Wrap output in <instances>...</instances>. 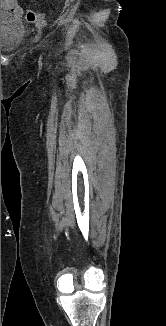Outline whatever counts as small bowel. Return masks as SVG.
I'll list each match as a JSON object with an SVG mask.
<instances>
[{
	"label": "small bowel",
	"instance_id": "1",
	"mask_svg": "<svg viewBox=\"0 0 166 326\" xmlns=\"http://www.w3.org/2000/svg\"><path fill=\"white\" fill-rule=\"evenodd\" d=\"M1 9L8 10L16 16L24 13L23 8L18 4L17 0H1Z\"/></svg>",
	"mask_w": 166,
	"mask_h": 326
}]
</instances>
